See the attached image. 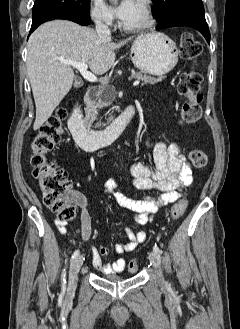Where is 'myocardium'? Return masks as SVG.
<instances>
[{
  "instance_id": "f54148a6",
  "label": "myocardium",
  "mask_w": 240,
  "mask_h": 329,
  "mask_svg": "<svg viewBox=\"0 0 240 329\" xmlns=\"http://www.w3.org/2000/svg\"><path fill=\"white\" fill-rule=\"evenodd\" d=\"M144 11V21L138 25H126L125 23H121V28L124 31L127 32H140V31H144L147 30L149 28H151L154 24V13H153V9H152V5H151V1L150 0H137Z\"/></svg>"
}]
</instances>
